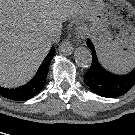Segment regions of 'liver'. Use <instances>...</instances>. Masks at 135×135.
<instances>
[{
  "instance_id": "liver-1",
  "label": "liver",
  "mask_w": 135,
  "mask_h": 135,
  "mask_svg": "<svg viewBox=\"0 0 135 135\" xmlns=\"http://www.w3.org/2000/svg\"><path fill=\"white\" fill-rule=\"evenodd\" d=\"M79 10L73 0H0V85L28 82L49 52L46 39Z\"/></svg>"
}]
</instances>
